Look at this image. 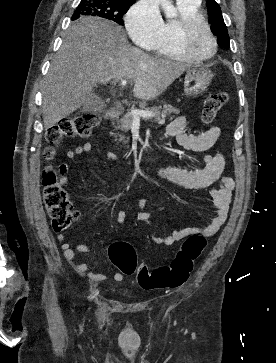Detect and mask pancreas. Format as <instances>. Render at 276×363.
Wrapping results in <instances>:
<instances>
[{"label": "pancreas", "instance_id": "obj_1", "mask_svg": "<svg viewBox=\"0 0 276 363\" xmlns=\"http://www.w3.org/2000/svg\"><path fill=\"white\" fill-rule=\"evenodd\" d=\"M146 111L151 112L153 114L152 117H154V121L159 123V124H164L165 123V118L168 115L178 114L179 113V110L174 108L170 104L164 105L163 110H161V107H152V108H146ZM133 119H134V116H133L132 112H127L117 122V126H115V128L128 131L132 127ZM144 119H152V118H144ZM124 138H125L124 136H120L119 141L124 140ZM124 143H127V141H124Z\"/></svg>", "mask_w": 276, "mask_h": 363}]
</instances>
